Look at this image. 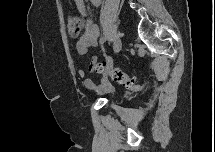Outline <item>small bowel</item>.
<instances>
[{"instance_id": "1", "label": "small bowel", "mask_w": 215, "mask_h": 152, "mask_svg": "<svg viewBox=\"0 0 215 152\" xmlns=\"http://www.w3.org/2000/svg\"><path fill=\"white\" fill-rule=\"evenodd\" d=\"M92 3L96 6L102 4L101 0H92ZM75 5L79 13L86 17V6L83 0H75ZM100 36V28L97 24L93 23L91 20L87 19L85 22V29L83 35L78 39L76 43V50L78 54L85 55L91 47L98 44ZM98 57L94 56L92 62H97ZM79 75L84 78V85L88 89L94 90L100 94L108 93L113 91V86L108 80H103L100 84H97L90 78H85V71L81 66L77 67Z\"/></svg>"}]
</instances>
